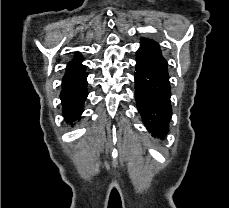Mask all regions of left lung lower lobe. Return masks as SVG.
I'll use <instances>...</instances> for the list:
<instances>
[{
    "mask_svg": "<svg viewBox=\"0 0 229 208\" xmlns=\"http://www.w3.org/2000/svg\"><path fill=\"white\" fill-rule=\"evenodd\" d=\"M170 84L157 78L148 65L137 60L135 72L136 105L152 137L162 139L169 130L172 115Z\"/></svg>",
    "mask_w": 229,
    "mask_h": 208,
    "instance_id": "obj_1",
    "label": "left lung lower lobe"
}]
</instances>
